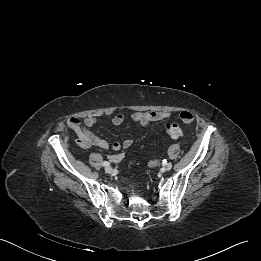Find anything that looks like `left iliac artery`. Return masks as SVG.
<instances>
[{"label":"left iliac artery","instance_id":"1","mask_svg":"<svg viewBox=\"0 0 261 261\" xmlns=\"http://www.w3.org/2000/svg\"><path fill=\"white\" fill-rule=\"evenodd\" d=\"M163 165H166L167 164V161L166 160H163V163H162Z\"/></svg>","mask_w":261,"mask_h":261}]
</instances>
